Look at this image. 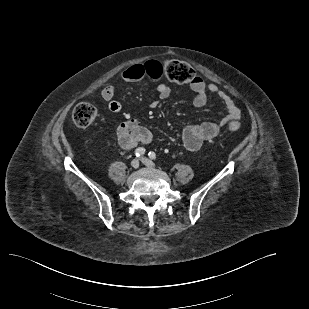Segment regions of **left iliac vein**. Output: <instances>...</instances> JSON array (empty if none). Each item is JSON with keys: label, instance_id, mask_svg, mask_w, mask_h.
Instances as JSON below:
<instances>
[{"label": "left iliac vein", "instance_id": "4c4485c4", "mask_svg": "<svg viewBox=\"0 0 309 309\" xmlns=\"http://www.w3.org/2000/svg\"><path fill=\"white\" fill-rule=\"evenodd\" d=\"M141 161H142V163L144 164V165H146V166H148V167H150V168H153L155 165H154V163L150 160V159H148V158H146V157H142L141 158Z\"/></svg>", "mask_w": 309, "mask_h": 309}]
</instances>
